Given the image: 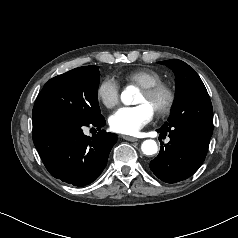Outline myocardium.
<instances>
[{"instance_id": "f54148a6", "label": "myocardium", "mask_w": 238, "mask_h": 238, "mask_svg": "<svg viewBox=\"0 0 238 238\" xmlns=\"http://www.w3.org/2000/svg\"><path fill=\"white\" fill-rule=\"evenodd\" d=\"M141 91L148 99L154 102L153 109L158 115H168L175 103V93L173 89L164 82H158L151 86L142 87ZM159 99H161L159 101Z\"/></svg>"}]
</instances>
